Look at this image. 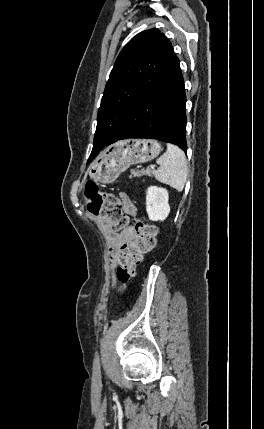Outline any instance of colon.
<instances>
[{
    "label": "colon",
    "instance_id": "colon-1",
    "mask_svg": "<svg viewBox=\"0 0 264 429\" xmlns=\"http://www.w3.org/2000/svg\"><path fill=\"white\" fill-rule=\"evenodd\" d=\"M88 210L94 215L102 216L112 232H118L128 224V218L121 209L119 199L112 193L101 190L96 184L89 182L85 186ZM136 240L122 246L117 254L118 267L116 276L122 288L134 278L142 256L150 252L156 243V228L143 221H135Z\"/></svg>",
    "mask_w": 264,
    "mask_h": 429
}]
</instances>
